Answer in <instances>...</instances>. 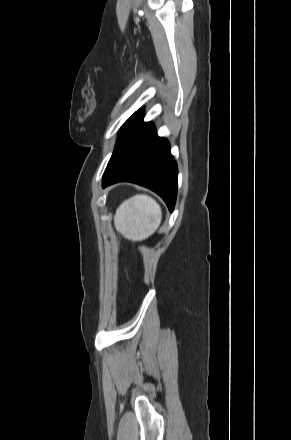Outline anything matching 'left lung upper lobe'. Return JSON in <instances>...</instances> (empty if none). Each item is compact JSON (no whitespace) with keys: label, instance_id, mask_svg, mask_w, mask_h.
I'll return each instance as SVG.
<instances>
[{"label":"left lung upper lobe","instance_id":"1","mask_svg":"<svg viewBox=\"0 0 291 440\" xmlns=\"http://www.w3.org/2000/svg\"><path fill=\"white\" fill-rule=\"evenodd\" d=\"M142 113V110H138L137 112H135L127 121L126 123L122 126L121 128V132L136 118L138 117L140 114Z\"/></svg>","mask_w":291,"mask_h":440}]
</instances>
